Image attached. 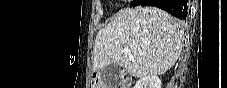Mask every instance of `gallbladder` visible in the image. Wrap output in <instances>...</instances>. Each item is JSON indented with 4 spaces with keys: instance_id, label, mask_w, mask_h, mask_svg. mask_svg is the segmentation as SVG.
<instances>
[{
    "instance_id": "obj_1",
    "label": "gallbladder",
    "mask_w": 227,
    "mask_h": 88,
    "mask_svg": "<svg viewBox=\"0 0 227 88\" xmlns=\"http://www.w3.org/2000/svg\"><path fill=\"white\" fill-rule=\"evenodd\" d=\"M102 81L109 87H116L120 81V70L118 65L112 64L101 71Z\"/></svg>"
}]
</instances>
